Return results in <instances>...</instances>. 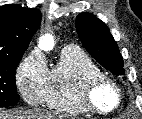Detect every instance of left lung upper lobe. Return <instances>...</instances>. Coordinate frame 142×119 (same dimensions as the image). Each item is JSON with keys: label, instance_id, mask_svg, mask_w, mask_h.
<instances>
[{"label": "left lung upper lobe", "instance_id": "obj_1", "mask_svg": "<svg viewBox=\"0 0 142 119\" xmlns=\"http://www.w3.org/2000/svg\"><path fill=\"white\" fill-rule=\"evenodd\" d=\"M76 30L88 53L114 75H123V59L108 27L91 13H80Z\"/></svg>", "mask_w": 142, "mask_h": 119}]
</instances>
